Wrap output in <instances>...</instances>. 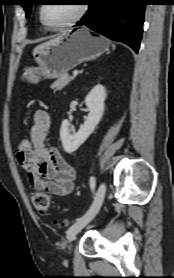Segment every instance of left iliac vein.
<instances>
[{
    "label": "left iliac vein",
    "mask_w": 174,
    "mask_h": 278,
    "mask_svg": "<svg viewBox=\"0 0 174 278\" xmlns=\"http://www.w3.org/2000/svg\"><path fill=\"white\" fill-rule=\"evenodd\" d=\"M105 194L106 185L105 183H101L95 193L94 200L90 208L69 228L67 232L68 242H72L76 235L97 215L104 201Z\"/></svg>",
    "instance_id": "left-iliac-vein-1"
}]
</instances>
